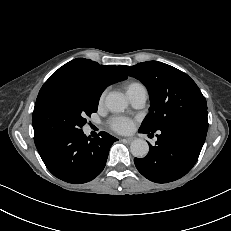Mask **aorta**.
<instances>
[{"label":"aorta","instance_id":"1","mask_svg":"<svg viewBox=\"0 0 231 231\" xmlns=\"http://www.w3.org/2000/svg\"><path fill=\"white\" fill-rule=\"evenodd\" d=\"M105 104L114 113L123 112L127 107V101L118 93H109L106 96ZM130 151L134 157L144 158L149 152V145L143 139H135L130 145Z\"/></svg>","mask_w":231,"mask_h":231}]
</instances>
